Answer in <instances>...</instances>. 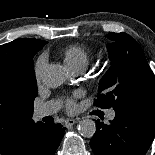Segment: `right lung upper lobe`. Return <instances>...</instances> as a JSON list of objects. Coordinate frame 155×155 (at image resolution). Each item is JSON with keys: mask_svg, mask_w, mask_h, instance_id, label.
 Here are the masks:
<instances>
[{"mask_svg": "<svg viewBox=\"0 0 155 155\" xmlns=\"http://www.w3.org/2000/svg\"><path fill=\"white\" fill-rule=\"evenodd\" d=\"M46 43V41H42L39 39L23 38L1 45L0 71L7 69L12 61H14L18 57L28 54H36V52L42 49ZM33 122L34 121L32 120L30 124H32ZM12 145L13 144H0V154H7Z\"/></svg>", "mask_w": 155, "mask_h": 155, "instance_id": "right-lung-upper-lobe-1", "label": "right lung upper lobe"}]
</instances>
